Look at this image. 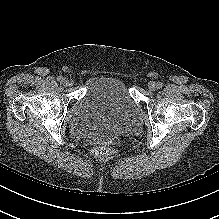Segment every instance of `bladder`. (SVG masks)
<instances>
[{
  "label": "bladder",
  "instance_id": "obj_1",
  "mask_svg": "<svg viewBox=\"0 0 219 219\" xmlns=\"http://www.w3.org/2000/svg\"><path fill=\"white\" fill-rule=\"evenodd\" d=\"M142 109L124 81L114 75L95 76L68 119L69 132L79 139L109 141L137 129Z\"/></svg>",
  "mask_w": 219,
  "mask_h": 219
}]
</instances>
